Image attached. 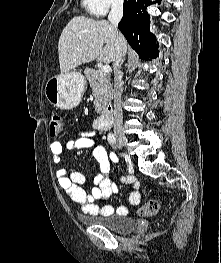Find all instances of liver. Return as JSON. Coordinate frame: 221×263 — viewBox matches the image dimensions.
<instances>
[{
  "mask_svg": "<svg viewBox=\"0 0 221 263\" xmlns=\"http://www.w3.org/2000/svg\"><path fill=\"white\" fill-rule=\"evenodd\" d=\"M115 41V29L108 21H97L85 16L73 17L59 38L58 55L61 73L69 72L95 59L99 62L111 63L115 54ZM126 51L125 40L123 56Z\"/></svg>",
  "mask_w": 221,
  "mask_h": 263,
  "instance_id": "obj_1",
  "label": "liver"
}]
</instances>
